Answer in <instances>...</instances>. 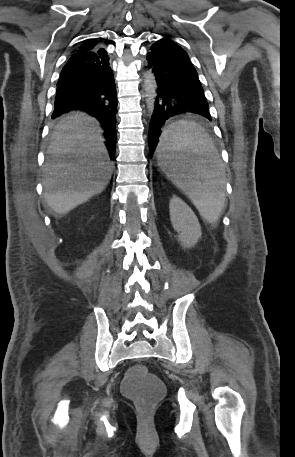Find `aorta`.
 <instances>
[{"mask_svg": "<svg viewBox=\"0 0 295 457\" xmlns=\"http://www.w3.org/2000/svg\"><path fill=\"white\" fill-rule=\"evenodd\" d=\"M146 105L149 115L154 111L155 98L157 96V84L152 69H148L144 73V84Z\"/></svg>", "mask_w": 295, "mask_h": 457, "instance_id": "762f6f07", "label": "aorta"}]
</instances>
